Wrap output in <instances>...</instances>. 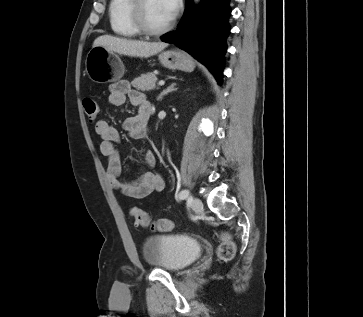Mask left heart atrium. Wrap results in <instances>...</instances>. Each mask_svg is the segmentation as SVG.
<instances>
[{
	"instance_id": "39dd6f15",
	"label": "left heart atrium",
	"mask_w": 363,
	"mask_h": 317,
	"mask_svg": "<svg viewBox=\"0 0 363 317\" xmlns=\"http://www.w3.org/2000/svg\"><path fill=\"white\" fill-rule=\"evenodd\" d=\"M164 2L167 8L168 16L171 20L177 13L180 0H164Z\"/></svg>"
}]
</instances>
